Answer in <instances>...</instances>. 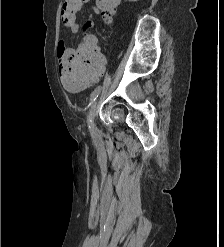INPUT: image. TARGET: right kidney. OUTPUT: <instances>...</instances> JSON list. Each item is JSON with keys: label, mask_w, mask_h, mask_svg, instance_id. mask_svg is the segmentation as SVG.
<instances>
[{"label": "right kidney", "mask_w": 224, "mask_h": 247, "mask_svg": "<svg viewBox=\"0 0 224 247\" xmlns=\"http://www.w3.org/2000/svg\"><path fill=\"white\" fill-rule=\"evenodd\" d=\"M128 2H137V0H128Z\"/></svg>", "instance_id": "1"}]
</instances>
